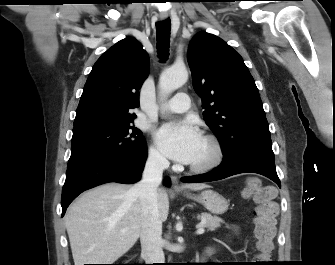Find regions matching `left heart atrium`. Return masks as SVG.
<instances>
[{
    "mask_svg": "<svg viewBox=\"0 0 335 265\" xmlns=\"http://www.w3.org/2000/svg\"><path fill=\"white\" fill-rule=\"evenodd\" d=\"M199 130L190 121L164 124L157 132V142L172 160L190 164L202 141Z\"/></svg>",
    "mask_w": 335,
    "mask_h": 265,
    "instance_id": "1",
    "label": "left heart atrium"
}]
</instances>
